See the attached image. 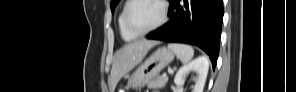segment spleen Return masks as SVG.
<instances>
[{
	"label": "spleen",
	"instance_id": "spleen-1",
	"mask_svg": "<svg viewBox=\"0 0 296 92\" xmlns=\"http://www.w3.org/2000/svg\"><path fill=\"white\" fill-rule=\"evenodd\" d=\"M168 48L172 50L182 63H188L194 55V50L191 46L179 43H170Z\"/></svg>",
	"mask_w": 296,
	"mask_h": 92
}]
</instances>
